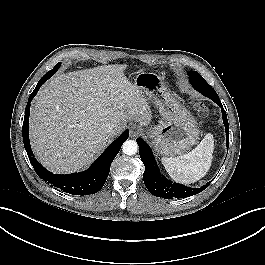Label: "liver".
Here are the masks:
<instances>
[{
	"label": "liver",
	"mask_w": 265,
	"mask_h": 265,
	"mask_svg": "<svg viewBox=\"0 0 265 265\" xmlns=\"http://www.w3.org/2000/svg\"><path fill=\"white\" fill-rule=\"evenodd\" d=\"M126 67L69 72L38 92L30 112V141L45 168L60 174L87 168L128 121L150 123L147 100L124 75ZM109 127L114 136L107 134Z\"/></svg>",
	"instance_id": "1"
}]
</instances>
